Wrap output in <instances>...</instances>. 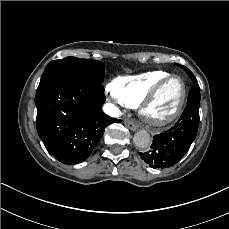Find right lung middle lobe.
<instances>
[{"label": "right lung middle lobe", "instance_id": "1", "mask_svg": "<svg viewBox=\"0 0 229 229\" xmlns=\"http://www.w3.org/2000/svg\"><path fill=\"white\" fill-rule=\"evenodd\" d=\"M105 77V66L100 61L66 57L50 62L40 80L37 92L50 83L63 78H77L101 86Z\"/></svg>", "mask_w": 229, "mask_h": 229}]
</instances>
